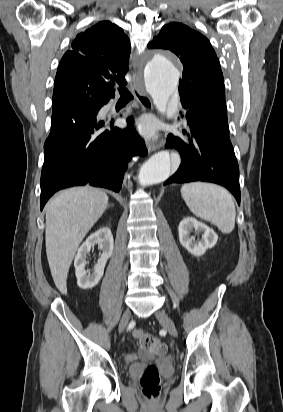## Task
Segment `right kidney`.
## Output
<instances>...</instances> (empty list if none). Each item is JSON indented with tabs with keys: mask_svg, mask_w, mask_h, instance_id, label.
I'll return each instance as SVG.
<instances>
[{
	"mask_svg": "<svg viewBox=\"0 0 283 412\" xmlns=\"http://www.w3.org/2000/svg\"><path fill=\"white\" fill-rule=\"evenodd\" d=\"M98 244L102 251L100 258L95 264L93 272L85 269L87 264L86 256L91 247ZM114 248V240L111 230L107 227L101 228L95 233L88 236L86 241L78 249L74 260L75 274L77 284L80 288L88 289L96 286L104 274V268L107 260L111 257Z\"/></svg>",
	"mask_w": 283,
	"mask_h": 412,
	"instance_id": "right-kidney-1",
	"label": "right kidney"
}]
</instances>
